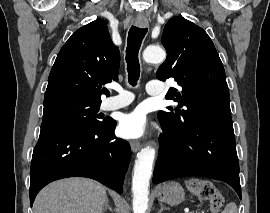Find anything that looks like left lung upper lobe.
Wrapping results in <instances>:
<instances>
[{
  "mask_svg": "<svg viewBox=\"0 0 270 213\" xmlns=\"http://www.w3.org/2000/svg\"><path fill=\"white\" fill-rule=\"evenodd\" d=\"M162 44L167 58L156 76L162 81L172 77L180 88L166 95L178 107L160 111L159 120L177 131L197 122L232 125L224 67L207 33L178 16L165 25Z\"/></svg>",
  "mask_w": 270,
  "mask_h": 213,
  "instance_id": "left-lung-upper-lobe-1",
  "label": "left lung upper lobe"
}]
</instances>
